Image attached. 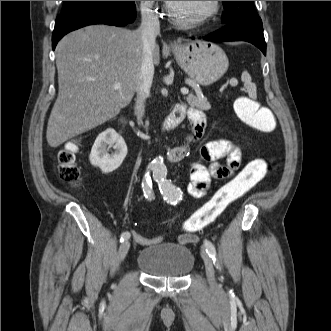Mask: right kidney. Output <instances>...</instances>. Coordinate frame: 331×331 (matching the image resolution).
Masks as SVG:
<instances>
[{
  "mask_svg": "<svg viewBox=\"0 0 331 331\" xmlns=\"http://www.w3.org/2000/svg\"><path fill=\"white\" fill-rule=\"evenodd\" d=\"M111 147L114 151L109 153ZM126 155L127 146L124 139L114 129L108 128L97 136L89 160L103 173H110L122 164Z\"/></svg>",
  "mask_w": 331,
  "mask_h": 331,
  "instance_id": "1",
  "label": "right kidney"
}]
</instances>
